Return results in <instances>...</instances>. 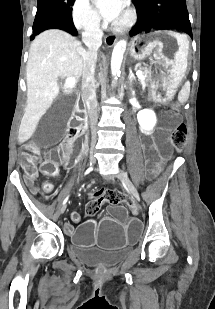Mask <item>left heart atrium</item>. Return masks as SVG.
Segmentation results:
<instances>
[{
    "label": "left heart atrium",
    "mask_w": 215,
    "mask_h": 309,
    "mask_svg": "<svg viewBox=\"0 0 215 309\" xmlns=\"http://www.w3.org/2000/svg\"><path fill=\"white\" fill-rule=\"evenodd\" d=\"M100 8L98 10L105 24H109L111 20H121L124 16L125 0H94Z\"/></svg>",
    "instance_id": "1"
}]
</instances>
